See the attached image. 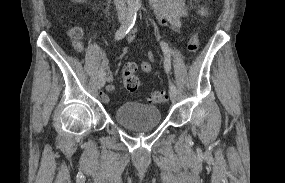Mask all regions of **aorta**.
<instances>
[{
  "instance_id": "obj_1",
  "label": "aorta",
  "mask_w": 285,
  "mask_h": 183,
  "mask_svg": "<svg viewBox=\"0 0 285 183\" xmlns=\"http://www.w3.org/2000/svg\"><path fill=\"white\" fill-rule=\"evenodd\" d=\"M128 8L137 10L140 7L139 0H127Z\"/></svg>"
}]
</instances>
